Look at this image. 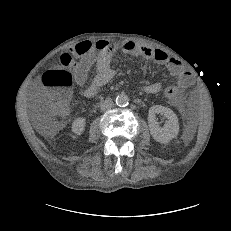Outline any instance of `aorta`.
Wrapping results in <instances>:
<instances>
[{
    "instance_id": "762f6f07",
    "label": "aorta",
    "mask_w": 231,
    "mask_h": 231,
    "mask_svg": "<svg viewBox=\"0 0 231 231\" xmlns=\"http://www.w3.org/2000/svg\"><path fill=\"white\" fill-rule=\"evenodd\" d=\"M128 103H129V97L126 94L121 93L116 97V104L118 106L124 107L127 106Z\"/></svg>"
}]
</instances>
